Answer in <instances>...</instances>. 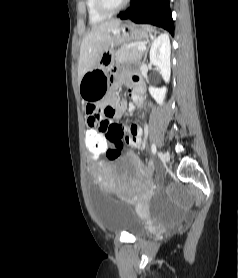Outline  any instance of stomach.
Wrapping results in <instances>:
<instances>
[{
  "label": "stomach",
  "instance_id": "stomach-1",
  "mask_svg": "<svg viewBox=\"0 0 238 278\" xmlns=\"http://www.w3.org/2000/svg\"><path fill=\"white\" fill-rule=\"evenodd\" d=\"M150 31L145 26H138L131 22L119 26L113 43L102 54L97 67L88 71L79 83V92L83 100L97 101L105 94L110 80L108 72L115 60V47L125 42L146 39Z\"/></svg>",
  "mask_w": 238,
  "mask_h": 278
}]
</instances>
